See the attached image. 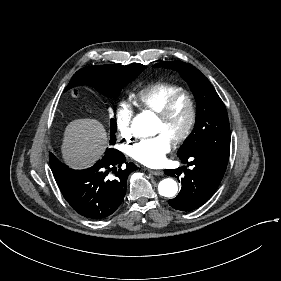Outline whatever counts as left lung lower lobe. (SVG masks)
<instances>
[{
  "instance_id": "left-lung-lower-lobe-1",
  "label": "left lung lower lobe",
  "mask_w": 281,
  "mask_h": 281,
  "mask_svg": "<svg viewBox=\"0 0 281 281\" xmlns=\"http://www.w3.org/2000/svg\"><path fill=\"white\" fill-rule=\"evenodd\" d=\"M180 159L183 160V163L191 160L187 166L192 167L190 169H186L185 166L182 167L185 175L181 179V191L174 199H170L168 203L174 209L192 211L205 204L215 193L226 171L228 162L203 152L182 156ZM165 174L179 178L182 172L181 168L166 169Z\"/></svg>"
}]
</instances>
